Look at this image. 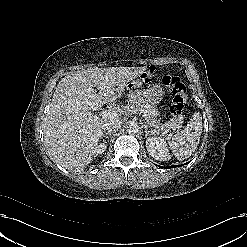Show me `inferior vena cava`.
Segmentation results:
<instances>
[{"instance_id":"602c4592","label":"inferior vena cava","mask_w":247,"mask_h":247,"mask_svg":"<svg viewBox=\"0 0 247 247\" xmlns=\"http://www.w3.org/2000/svg\"><path fill=\"white\" fill-rule=\"evenodd\" d=\"M120 127H121L120 120L110 119L104 124L103 129L106 131V133H113L117 131Z\"/></svg>"}]
</instances>
